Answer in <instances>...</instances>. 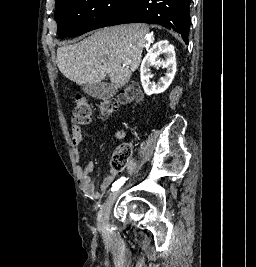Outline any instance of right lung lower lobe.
<instances>
[{
    "mask_svg": "<svg viewBox=\"0 0 256 267\" xmlns=\"http://www.w3.org/2000/svg\"><path fill=\"white\" fill-rule=\"evenodd\" d=\"M190 3L191 0H137L128 11L119 14L103 27L133 22L160 24L182 34L188 44Z\"/></svg>",
    "mask_w": 256,
    "mask_h": 267,
    "instance_id": "98d812e1",
    "label": "right lung lower lobe"
}]
</instances>
